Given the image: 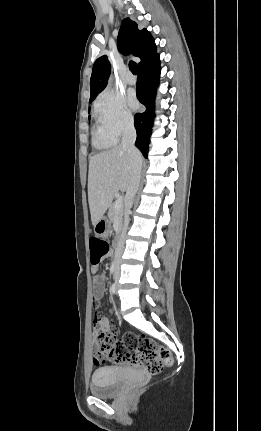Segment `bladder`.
Returning a JSON list of instances; mask_svg holds the SVG:
<instances>
[{
  "label": "bladder",
  "instance_id": "31cf9c89",
  "mask_svg": "<svg viewBox=\"0 0 261 431\" xmlns=\"http://www.w3.org/2000/svg\"><path fill=\"white\" fill-rule=\"evenodd\" d=\"M125 374L121 369L106 367L93 372L90 392L99 398H109L118 394L124 385Z\"/></svg>",
  "mask_w": 261,
  "mask_h": 431
}]
</instances>
